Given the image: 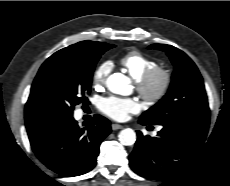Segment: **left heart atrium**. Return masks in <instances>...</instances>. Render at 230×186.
<instances>
[{
	"label": "left heart atrium",
	"mask_w": 230,
	"mask_h": 186,
	"mask_svg": "<svg viewBox=\"0 0 230 186\" xmlns=\"http://www.w3.org/2000/svg\"><path fill=\"white\" fill-rule=\"evenodd\" d=\"M100 110L114 120L124 121L130 114L140 110L139 103L131 98H119L115 96L103 98L99 104Z\"/></svg>",
	"instance_id": "1"
}]
</instances>
